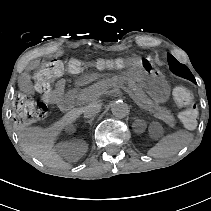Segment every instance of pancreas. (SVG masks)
<instances>
[{
	"label": "pancreas",
	"mask_w": 211,
	"mask_h": 211,
	"mask_svg": "<svg viewBox=\"0 0 211 211\" xmlns=\"http://www.w3.org/2000/svg\"><path fill=\"white\" fill-rule=\"evenodd\" d=\"M118 83H127L129 88L132 90L133 97L137 103L143 104L146 107L145 109L154 113L156 118L161 119L170 127L175 126V118L171 114L170 110L154 105L152 100L149 99L144 93L141 86L137 84L132 78L118 77L117 81L114 83L112 79H105L104 81L97 83L96 86L90 87L88 90L81 92L79 96L80 100L91 103L95 100L97 95H100L102 92L109 90L113 86H116Z\"/></svg>",
	"instance_id": "cf45deb5"
}]
</instances>
